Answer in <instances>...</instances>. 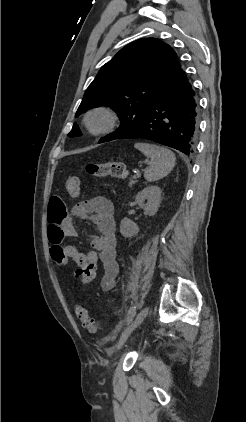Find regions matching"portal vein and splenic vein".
I'll list each match as a JSON object with an SVG mask.
<instances>
[{
    "instance_id": "1",
    "label": "portal vein and splenic vein",
    "mask_w": 246,
    "mask_h": 422,
    "mask_svg": "<svg viewBox=\"0 0 246 422\" xmlns=\"http://www.w3.org/2000/svg\"><path fill=\"white\" fill-rule=\"evenodd\" d=\"M139 176V173H137L135 176H134V178H137Z\"/></svg>"
}]
</instances>
